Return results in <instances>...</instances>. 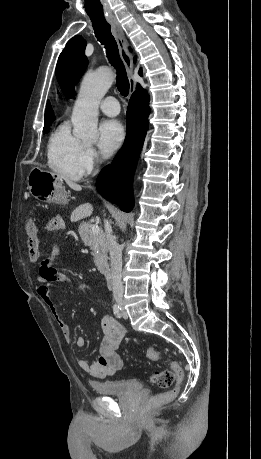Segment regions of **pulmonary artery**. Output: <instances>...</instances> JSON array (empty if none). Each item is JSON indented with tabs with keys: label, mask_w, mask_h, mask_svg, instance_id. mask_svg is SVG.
Listing matches in <instances>:
<instances>
[{
	"label": "pulmonary artery",
	"mask_w": 261,
	"mask_h": 459,
	"mask_svg": "<svg viewBox=\"0 0 261 459\" xmlns=\"http://www.w3.org/2000/svg\"><path fill=\"white\" fill-rule=\"evenodd\" d=\"M99 108L105 115L111 117L117 116L120 112L119 102L113 96L106 97L101 102Z\"/></svg>",
	"instance_id": "obj_1"
}]
</instances>
